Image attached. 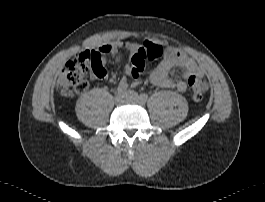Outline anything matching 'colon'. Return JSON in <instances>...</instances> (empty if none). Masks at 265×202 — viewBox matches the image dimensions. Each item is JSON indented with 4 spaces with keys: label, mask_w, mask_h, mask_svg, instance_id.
Listing matches in <instances>:
<instances>
[{
    "label": "colon",
    "mask_w": 265,
    "mask_h": 202,
    "mask_svg": "<svg viewBox=\"0 0 265 202\" xmlns=\"http://www.w3.org/2000/svg\"><path fill=\"white\" fill-rule=\"evenodd\" d=\"M100 48L93 47L78 53L63 67L56 84L59 92H83L88 85L87 75L93 72L102 75L104 67L99 61ZM165 55V50L158 44H147L130 57L131 75L138 80L146 64ZM189 93L195 101H200L207 91V82L202 77H193L189 83Z\"/></svg>",
    "instance_id": "colon-1"
}]
</instances>
